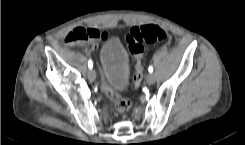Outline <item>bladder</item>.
I'll list each match as a JSON object with an SVG mask.
<instances>
[{
	"mask_svg": "<svg viewBox=\"0 0 245 145\" xmlns=\"http://www.w3.org/2000/svg\"><path fill=\"white\" fill-rule=\"evenodd\" d=\"M100 60L106 84L115 93L126 89L130 80L129 56L118 37H112L104 42Z\"/></svg>",
	"mask_w": 245,
	"mask_h": 145,
	"instance_id": "obj_1",
	"label": "bladder"
}]
</instances>
